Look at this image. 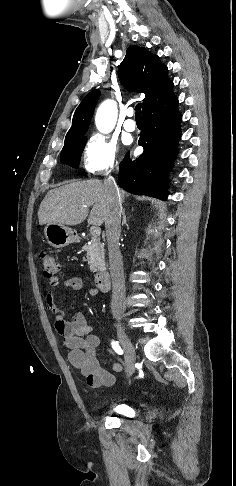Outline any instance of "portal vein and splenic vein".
Here are the masks:
<instances>
[{"label":"portal vein and splenic vein","instance_id":"obj_1","mask_svg":"<svg viewBox=\"0 0 236 486\" xmlns=\"http://www.w3.org/2000/svg\"><path fill=\"white\" fill-rule=\"evenodd\" d=\"M90 233L93 237H98L101 234V229L98 226H92L90 228Z\"/></svg>","mask_w":236,"mask_h":486}]
</instances>
